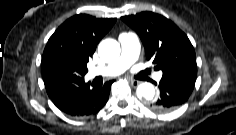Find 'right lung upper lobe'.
<instances>
[{"instance_id":"obj_1","label":"right lung upper lobe","mask_w":236,"mask_h":135,"mask_svg":"<svg viewBox=\"0 0 236 135\" xmlns=\"http://www.w3.org/2000/svg\"><path fill=\"white\" fill-rule=\"evenodd\" d=\"M116 18H95L87 14L66 20L50 37L42 60L52 54H64L87 63L101 38L111 29Z\"/></svg>"}]
</instances>
